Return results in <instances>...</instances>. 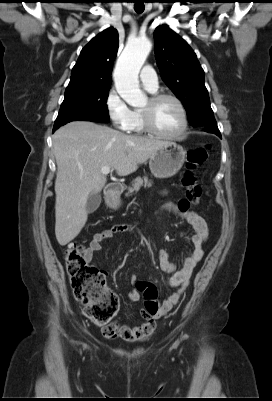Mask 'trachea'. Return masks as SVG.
I'll use <instances>...</instances> for the list:
<instances>
[{"mask_svg":"<svg viewBox=\"0 0 272 401\" xmlns=\"http://www.w3.org/2000/svg\"><path fill=\"white\" fill-rule=\"evenodd\" d=\"M144 8H145V6L143 3V0H135L134 10L138 14L142 13L144 11Z\"/></svg>","mask_w":272,"mask_h":401,"instance_id":"1","label":"trachea"}]
</instances>
